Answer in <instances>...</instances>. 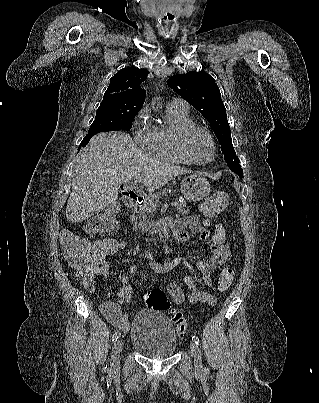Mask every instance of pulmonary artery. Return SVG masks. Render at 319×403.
Segmentation results:
<instances>
[{"instance_id": "e3ab8cb5", "label": "pulmonary artery", "mask_w": 319, "mask_h": 403, "mask_svg": "<svg viewBox=\"0 0 319 403\" xmlns=\"http://www.w3.org/2000/svg\"><path fill=\"white\" fill-rule=\"evenodd\" d=\"M168 106H173V107H178V108H182V109H188L189 106L186 103V101H184L183 99L180 98H174L172 99L169 103Z\"/></svg>"}]
</instances>
